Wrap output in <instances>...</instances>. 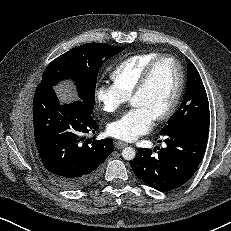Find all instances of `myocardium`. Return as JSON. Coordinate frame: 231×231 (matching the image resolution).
Listing matches in <instances>:
<instances>
[{"instance_id":"myocardium-1","label":"myocardium","mask_w":231,"mask_h":231,"mask_svg":"<svg viewBox=\"0 0 231 231\" xmlns=\"http://www.w3.org/2000/svg\"><path fill=\"white\" fill-rule=\"evenodd\" d=\"M164 59H170L175 63L178 70V85L169 107L163 113H161L155 118L156 121H164L170 118L175 113L180 103L181 97L183 95V91L185 87V72L182 63L178 58H176L171 54H160L155 59H153L143 71L138 84L136 85L135 89L133 90L130 96L132 100L135 96L140 94L146 88L154 68L160 61Z\"/></svg>"}]
</instances>
